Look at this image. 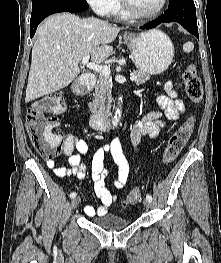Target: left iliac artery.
<instances>
[{"instance_id":"left-iliac-artery-1","label":"left iliac artery","mask_w":221,"mask_h":263,"mask_svg":"<svg viewBox=\"0 0 221 263\" xmlns=\"http://www.w3.org/2000/svg\"><path fill=\"white\" fill-rule=\"evenodd\" d=\"M146 199H147L149 202H151V201H152V196H151L150 194H147V195H146Z\"/></svg>"}]
</instances>
